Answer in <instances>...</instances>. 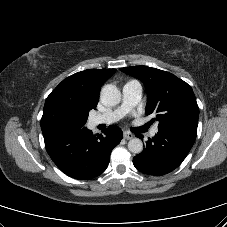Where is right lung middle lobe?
<instances>
[{"instance_id":"dd1d6c3e","label":"right lung middle lobe","mask_w":227,"mask_h":227,"mask_svg":"<svg viewBox=\"0 0 227 227\" xmlns=\"http://www.w3.org/2000/svg\"><path fill=\"white\" fill-rule=\"evenodd\" d=\"M89 111L63 95L50 96L46 99L41 118L42 132L47 134L84 129Z\"/></svg>"}]
</instances>
